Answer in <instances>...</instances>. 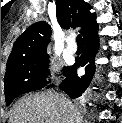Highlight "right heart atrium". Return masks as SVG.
<instances>
[{"mask_svg":"<svg viewBox=\"0 0 122 123\" xmlns=\"http://www.w3.org/2000/svg\"><path fill=\"white\" fill-rule=\"evenodd\" d=\"M56 73H57V68L55 66L48 65L44 69V76H45L46 79L55 78Z\"/></svg>","mask_w":122,"mask_h":123,"instance_id":"obj_1","label":"right heart atrium"}]
</instances>
